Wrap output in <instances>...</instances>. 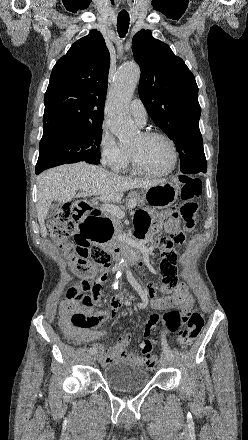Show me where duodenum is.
Returning <instances> with one entry per match:
<instances>
[{"instance_id": "obj_1", "label": "duodenum", "mask_w": 248, "mask_h": 440, "mask_svg": "<svg viewBox=\"0 0 248 440\" xmlns=\"http://www.w3.org/2000/svg\"><path fill=\"white\" fill-rule=\"evenodd\" d=\"M76 206L84 211V219H86L87 222L88 218H90L91 215L88 214L92 209L91 202L79 201L78 203H76ZM107 250L117 261H120L122 258H124L129 262H138L141 256L136 249V240L122 242L119 244H115L114 246H108Z\"/></svg>"}]
</instances>
